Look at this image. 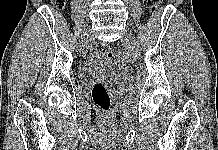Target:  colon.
Listing matches in <instances>:
<instances>
[{
  "mask_svg": "<svg viewBox=\"0 0 218 150\" xmlns=\"http://www.w3.org/2000/svg\"><path fill=\"white\" fill-rule=\"evenodd\" d=\"M53 2L62 7L64 5V0H53ZM146 7L151 11H156L161 3V0H144ZM96 54L99 58L104 60H111L113 58V51L111 47L106 43H99L96 46ZM92 99L94 103L103 111H108L111 106V97L102 82H96L92 87Z\"/></svg>",
  "mask_w": 218,
  "mask_h": 150,
  "instance_id": "5ec220e1",
  "label": "colon"
}]
</instances>
